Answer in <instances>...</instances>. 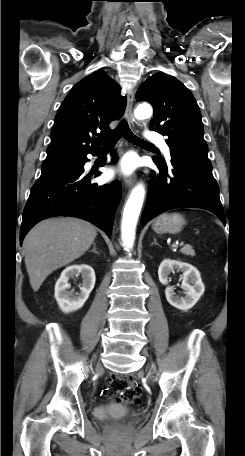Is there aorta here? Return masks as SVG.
Wrapping results in <instances>:
<instances>
[{"instance_id":"aorta-1","label":"aorta","mask_w":245,"mask_h":456,"mask_svg":"<svg viewBox=\"0 0 245 456\" xmlns=\"http://www.w3.org/2000/svg\"><path fill=\"white\" fill-rule=\"evenodd\" d=\"M153 109L150 104L142 103L137 106L134 111L137 119H147L152 116ZM145 197V187L143 183H138L125 204L122 224H121V239L124 247L131 249L135 241V233L138 217L143 205Z\"/></svg>"}]
</instances>
